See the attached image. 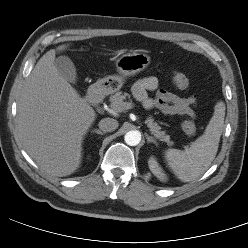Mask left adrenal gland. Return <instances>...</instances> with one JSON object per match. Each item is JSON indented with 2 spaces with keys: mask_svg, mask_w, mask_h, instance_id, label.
<instances>
[{
  "mask_svg": "<svg viewBox=\"0 0 248 248\" xmlns=\"http://www.w3.org/2000/svg\"><path fill=\"white\" fill-rule=\"evenodd\" d=\"M145 136H146V139H147V143H151L152 142L156 146L158 145L157 144V141L153 137L149 136L148 134H145Z\"/></svg>",
  "mask_w": 248,
  "mask_h": 248,
  "instance_id": "a2214340",
  "label": "left adrenal gland"
}]
</instances>
